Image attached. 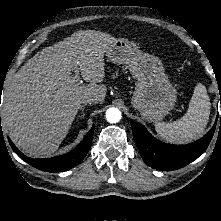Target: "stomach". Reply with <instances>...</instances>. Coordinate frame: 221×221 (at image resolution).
Instances as JSON below:
<instances>
[{
  "mask_svg": "<svg viewBox=\"0 0 221 221\" xmlns=\"http://www.w3.org/2000/svg\"><path fill=\"white\" fill-rule=\"evenodd\" d=\"M106 56L113 63L125 64L137 80L131 103L145 120L158 122L174 108L176 91L158 57L143 52L124 38L116 39Z\"/></svg>",
  "mask_w": 221,
  "mask_h": 221,
  "instance_id": "obj_1",
  "label": "stomach"
}]
</instances>
